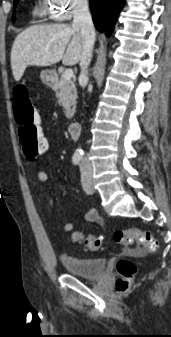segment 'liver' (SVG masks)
<instances>
[{
  "mask_svg": "<svg viewBox=\"0 0 171 337\" xmlns=\"http://www.w3.org/2000/svg\"><path fill=\"white\" fill-rule=\"evenodd\" d=\"M82 55L80 29L69 24L37 25L20 33L12 46L11 68L19 81L29 66H50L62 60L77 64Z\"/></svg>",
  "mask_w": 171,
  "mask_h": 337,
  "instance_id": "6515ba94",
  "label": "liver"
}]
</instances>
